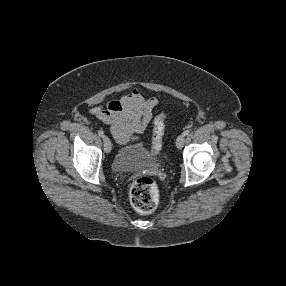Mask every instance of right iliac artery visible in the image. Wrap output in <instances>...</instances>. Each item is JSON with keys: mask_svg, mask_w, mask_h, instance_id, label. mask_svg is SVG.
Returning <instances> with one entry per match:
<instances>
[{"mask_svg": "<svg viewBox=\"0 0 286 286\" xmlns=\"http://www.w3.org/2000/svg\"><path fill=\"white\" fill-rule=\"evenodd\" d=\"M98 135H99L100 137H104V132H103L102 130H99V131H98Z\"/></svg>", "mask_w": 286, "mask_h": 286, "instance_id": "right-iliac-artery-1", "label": "right iliac artery"}]
</instances>
